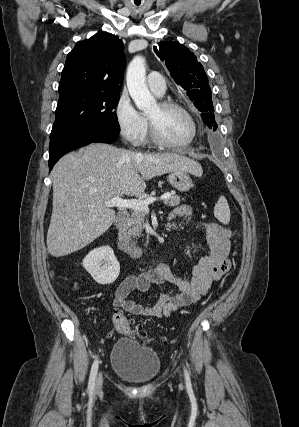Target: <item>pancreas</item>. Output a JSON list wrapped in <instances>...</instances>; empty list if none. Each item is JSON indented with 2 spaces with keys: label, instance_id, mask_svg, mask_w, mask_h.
Wrapping results in <instances>:
<instances>
[{
  "label": "pancreas",
  "instance_id": "cf45deb5",
  "mask_svg": "<svg viewBox=\"0 0 299 427\" xmlns=\"http://www.w3.org/2000/svg\"><path fill=\"white\" fill-rule=\"evenodd\" d=\"M181 202L180 196L175 193H170V198L164 201L165 205L168 206H177ZM146 212L141 210H134L131 214L130 219L128 220L125 228V233L128 238H138L142 234L144 229Z\"/></svg>",
  "mask_w": 299,
  "mask_h": 427
}]
</instances>
